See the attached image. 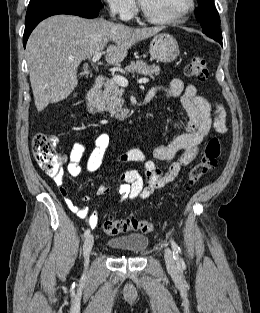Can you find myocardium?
I'll list each match as a JSON object with an SVG mask.
<instances>
[{
    "label": "myocardium",
    "instance_id": "1",
    "mask_svg": "<svg viewBox=\"0 0 260 313\" xmlns=\"http://www.w3.org/2000/svg\"><path fill=\"white\" fill-rule=\"evenodd\" d=\"M138 7L141 15L149 22L154 24H175L183 20L189 13H191L195 7V0H188L186 7L177 15L168 18H161L152 15L138 0Z\"/></svg>",
    "mask_w": 260,
    "mask_h": 313
}]
</instances>
